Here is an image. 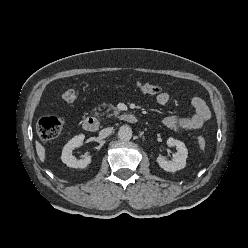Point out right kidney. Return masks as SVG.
Returning <instances> with one entry per match:
<instances>
[{"label": "right kidney", "mask_w": 248, "mask_h": 248, "mask_svg": "<svg viewBox=\"0 0 248 248\" xmlns=\"http://www.w3.org/2000/svg\"><path fill=\"white\" fill-rule=\"evenodd\" d=\"M84 138L85 136L83 134L75 136L64 146L62 150L61 160L67 166L72 168L83 169L91 163V156L88 152L85 153V157L80 160H78L75 156L72 155L73 150L76 147H80L82 145Z\"/></svg>", "instance_id": "obj_1"}]
</instances>
